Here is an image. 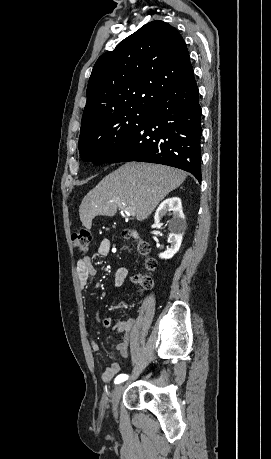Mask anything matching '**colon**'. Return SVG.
I'll return each instance as SVG.
<instances>
[{
	"label": "colon",
	"instance_id": "obj_1",
	"mask_svg": "<svg viewBox=\"0 0 271 459\" xmlns=\"http://www.w3.org/2000/svg\"><path fill=\"white\" fill-rule=\"evenodd\" d=\"M92 238L93 234L90 230L80 229L72 234V245L77 251L86 252L92 241ZM138 250L142 254H147L149 251V245L143 242L139 244ZM145 266L147 269L153 270L156 267V262L154 259L148 258L145 261ZM134 281L144 289L150 288L152 286V278L148 275L135 276Z\"/></svg>",
	"mask_w": 271,
	"mask_h": 459
}]
</instances>
